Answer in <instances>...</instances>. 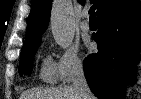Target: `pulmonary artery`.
Listing matches in <instances>:
<instances>
[{
  "label": "pulmonary artery",
  "mask_w": 141,
  "mask_h": 99,
  "mask_svg": "<svg viewBox=\"0 0 141 99\" xmlns=\"http://www.w3.org/2000/svg\"><path fill=\"white\" fill-rule=\"evenodd\" d=\"M82 17H83V20L80 23V28L83 32H88L90 30V24L88 20V11L87 10L83 11Z\"/></svg>",
  "instance_id": "1"
}]
</instances>
